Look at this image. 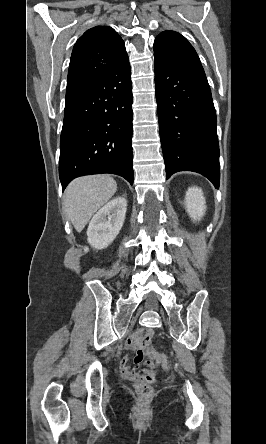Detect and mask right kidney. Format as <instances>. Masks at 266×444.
Segmentation results:
<instances>
[{
  "label": "right kidney",
  "instance_id": "1",
  "mask_svg": "<svg viewBox=\"0 0 266 444\" xmlns=\"http://www.w3.org/2000/svg\"><path fill=\"white\" fill-rule=\"evenodd\" d=\"M127 209L124 197H116L103 206L92 218L87 229V241L96 249H104L121 230Z\"/></svg>",
  "mask_w": 266,
  "mask_h": 444
}]
</instances>
